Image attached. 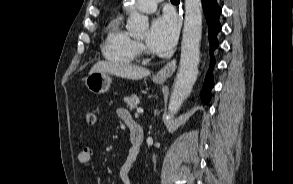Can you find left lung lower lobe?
Here are the masks:
<instances>
[{"label":"left lung lower lobe","instance_id":"0a47b994","mask_svg":"<svg viewBox=\"0 0 293 184\" xmlns=\"http://www.w3.org/2000/svg\"><path fill=\"white\" fill-rule=\"evenodd\" d=\"M202 4L209 28L211 62L200 96L203 102L208 104L211 98V89L214 86L212 70L215 64V60L213 57V51L218 46V40L216 36L217 33L221 30V25L218 20V17L221 13V8L218 6L217 0H202Z\"/></svg>","mask_w":293,"mask_h":184}]
</instances>
